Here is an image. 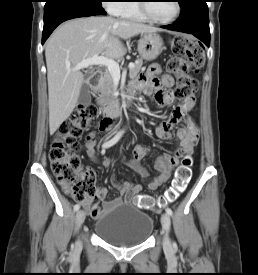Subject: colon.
I'll use <instances>...</instances> for the list:
<instances>
[{"mask_svg":"<svg viewBox=\"0 0 258 275\" xmlns=\"http://www.w3.org/2000/svg\"><path fill=\"white\" fill-rule=\"evenodd\" d=\"M171 47L175 56L168 60L166 68L177 78L174 95L187 100L199 88V83L192 77L191 72L203 66L204 50L191 38L183 35L174 37ZM96 114L97 109L91 105L77 109L60 126L49 153L51 167L58 183L67 195L78 202L90 199L96 194V174L92 170L83 171L78 156L80 150L78 140ZM109 124L103 119L99 127H106ZM191 165V156L186 155L177 168L170 187L163 195L157 199L148 195L137 196L135 204L143 210H155L174 202L185 190L191 178Z\"/></svg>","mask_w":258,"mask_h":275,"instance_id":"obj_1","label":"colon"}]
</instances>
